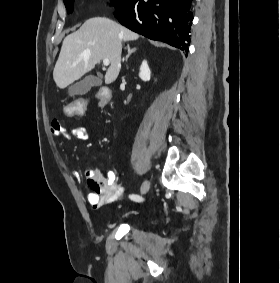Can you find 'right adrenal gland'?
<instances>
[{
	"instance_id": "2a0ac1e0",
	"label": "right adrenal gland",
	"mask_w": 280,
	"mask_h": 283,
	"mask_svg": "<svg viewBox=\"0 0 280 283\" xmlns=\"http://www.w3.org/2000/svg\"><path fill=\"white\" fill-rule=\"evenodd\" d=\"M127 50H128V55H127L125 58H123V62H124V61H127L128 58L130 57V55H131L132 53H134V52L137 50V48L131 49V48H130V45H127Z\"/></svg>"
}]
</instances>
